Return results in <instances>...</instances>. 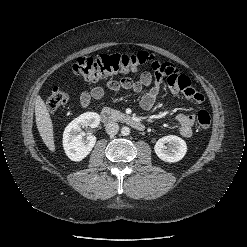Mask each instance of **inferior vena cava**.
<instances>
[{"instance_id": "obj_1", "label": "inferior vena cava", "mask_w": 247, "mask_h": 247, "mask_svg": "<svg viewBox=\"0 0 247 247\" xmlns=\"http://www.w3.org/2000/svg\"><path fill=\"white\" fill-rule=\"evenodd\" d=\"M119 131V125L116 122H109L106 124V132L109 135H115Z\"/></svg>"}]
</instances>
